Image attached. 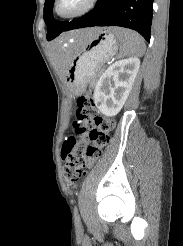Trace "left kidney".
<instances>
[{"mask_svg": "<svg viewBox=\"0 0 183 246\" xmlns=\"http://www.w3.org/2000/svg\"><path fill=\"white\" fill-rule=\"evenodd\" d=\"M140 68L137 57L120 59L99 78L94 92L97 108L105 116H115L122 109Z\"/></svg>", "mask_w": 183, "mask_h": 246, "instance_id": "1", "label": "left kidney"}]
</instances>
